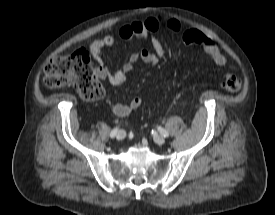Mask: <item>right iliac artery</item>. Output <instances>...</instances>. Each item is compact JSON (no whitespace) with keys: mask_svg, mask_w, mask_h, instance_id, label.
<instances>
[{"mask_svg":"<svg viewBox=\"0 0 275 215\" xmlns=\"http://www.w3.org/2000/svg\"><path fill=\"white\" fill-rule=\"evenodd\" d=\"M117 132H118V128H114L110 133V137L114 138L116 136Z\"/></svg>","mask_w":275,"mask_h":215,"instance_id":"1","label":"right iliac artery"}]
</instances>
